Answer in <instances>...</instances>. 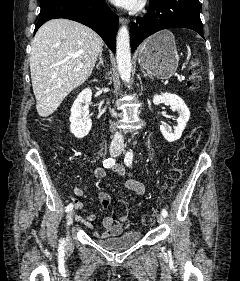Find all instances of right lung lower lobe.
Listing matches in <instances>:
<instances>
[{"instance_id":"right-lung-lower-lobe-1","label":"right lung lower lobe","mask_w":240,"mask_h":281,"mask_svg":"<svg viewBox=\"0 0 240 281\" xmlns=\"http://www.w3.org/2000/svg\"><path fill=\"white\" fill-rule=\"evenodd\" d=\"M40 8L34 33L48 20L66 18L92 28L116 52L118 16L104 0H44L40 2Z\"/></svg>"}]
</instances>
